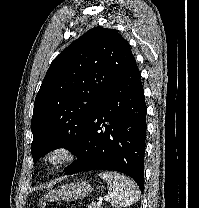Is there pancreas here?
<instances>
[{
  "label": "pancreas",
  "instance_id": "pancreas-1",
  "mask_svg": "<svg viewBox=\"0 0 199 208\" xmlns=\"http://www.w3.org/2000/svg\"><path fill=\"white\" fill-rule=\"evenodd\" d=\"M88 208H102L100 205L96 204V203H91Z\"/></svg>",
  "mask_w": 199,
  "mask_h": 208
}]
</instances>
